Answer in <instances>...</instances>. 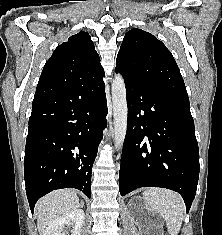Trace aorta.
I'll return each mask as SVG.
<instances>
[{
    "label": "aorta",
    "mask_w": 222,
    "mask_h": 235,
    "mask_svg": "<svg viewBox=\"0 0 222 235\" xmlns=\"http://www.w3.org/2000/svg\"><path fill=\"white\" fill-rule=\"evenodd\" d=\"M112 103L114 116V145L116 149L123 146L127 131V100L124 79L120 74L112 81Z\"/></svg>",
    "instance_id": "obj_1"
}]
</instances>
